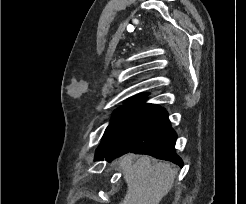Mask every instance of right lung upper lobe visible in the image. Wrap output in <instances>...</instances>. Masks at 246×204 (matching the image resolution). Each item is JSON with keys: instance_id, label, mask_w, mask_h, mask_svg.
<instances>
[{"instance_id": "obj_1", "label": "right lung upper lobe", "mask_w": 246, "mask_h": 204, "mask_svg": "<svg viewBox=\"0 0 246 204\" xmlns=\"http://www.w3.org/2000/svg\"><path fill=\"white\" fill-rule=\"evenodd\" d=\"M146 96H147V94H138V95H136L134 97L129 98L127 101L137 102V101L145 98Z\"/></svg>"}]
</instances>
